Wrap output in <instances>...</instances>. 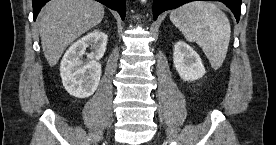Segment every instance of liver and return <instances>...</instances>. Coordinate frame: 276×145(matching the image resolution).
Instances as JSON below:
<instances>
[{
  "instance_id": "obj_1",
  "label": "liver",
  "mask_w": 276,
  "mask_h": 145,
  "mask_svg": "<svg viewBox=\"0 0 276 145\" xmlns=\"http://www.w3.org/2000/svg\"><path fill=\"white\" fill-rule=\"evenodd\" d=\"M104 18V6L94 0H51L38 16L44 56L51 67L65 49Z\"/></svg>"
}]
</instances>
